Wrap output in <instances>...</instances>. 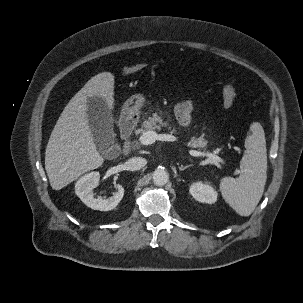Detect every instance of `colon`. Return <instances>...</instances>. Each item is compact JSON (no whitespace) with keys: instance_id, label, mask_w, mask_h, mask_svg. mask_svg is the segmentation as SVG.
<instances>
[{"instance_id":"colon-1","label":"colon","mask_w":303,"mask_h":303,"mask_svg":"<svg viewBox=\"0 0 303 303\" xmlns=\"http://www.w3.org/2000/svg\"><path fill=\"white\" fill-rule=\"evenodd\" d=\"M146 67V64L139 63L136 65L131 66H124L122 68V71L126 74L135 73L137 71H140ZM222 98L223 103L226 108H232L236 102L237 99V93L234 86V83L231 81L226 82L222 87Z\"/></svg>"}]
</instances>
